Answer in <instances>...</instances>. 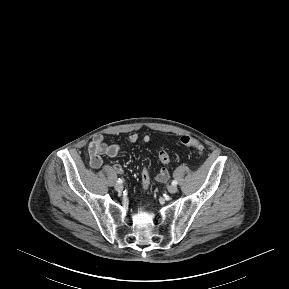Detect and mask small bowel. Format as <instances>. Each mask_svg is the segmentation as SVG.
Returning a JSON list of instances; mask_svg holds the SVG:
<instances>
[{"label":"small bowel","instance_id":"1","mask_svg":"<svg viewBox=\"0 0 289 289\" xmlns=\"http://www.w3.org/2000/svg\"><path fill=\"white\" fill-rule=\"evenodd\" d=\"M141 136L138 133L131 134L128 137L129 144H135ZM142 141L144 143H149L151 141V137L149 135H143ZM121 151V146L119 144H107L104 141V137L102 135H96L88 146V152L91 159V164L94 167H100L102 164V156H107L110 158L116 157ZM114 169L117 173H123V167L121 164L117 163L114 165ZM155 181L158 183H169L171 178L169 177V172L166 168L160 169L159 173L155 177Z\"/></svg>","mask_w":289,"mask_h":289}]
</instances>
